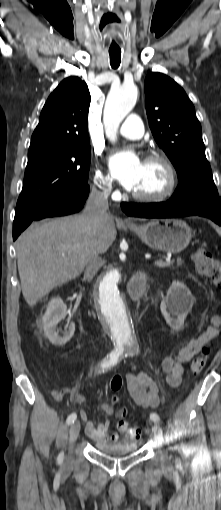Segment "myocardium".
Segmentation results:
<instances>
[{
  "label": "myocardium",
  "mask_w": 221,
  "mask_h": 510,
  "mask_svg": "<svg viewBox=\"0 0 221 510\" xmlns=\"http://www.w3.org/2000/svg\"><path fill=\"white\" fill-rule=\"evenodd\" d=\"M159 162L163 165L167 173V183L162 191L156 194H140L132 192V197L144 203H157L170 198L176 190L177 186V173L171 160L162 153L149 154L144 162Z\"/></svg>",
  "instance_id": "obj_1"
}]
</instances>
